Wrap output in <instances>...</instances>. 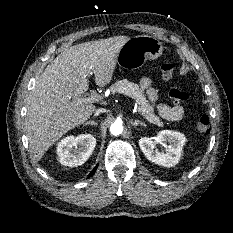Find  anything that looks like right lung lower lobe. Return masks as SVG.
Here are the masks:
<instances>
[{"mask_svg":"<svg viewBox=\"0 0 233 233\" xmlns=\"http://www.w3.org/2000/svg\"><path fill=\"white\" fill-rule=\"evenodd\" d=\"M97 167H98V164H97V166H96V167L91 171V174H90V175H88V177H90L91 175H93V174L95 173V171H96Z\"/></svg>","mask_w":233,"mask_h":233,"instance_id":"1","label":"right lung lower lobe"}]
</instances>
